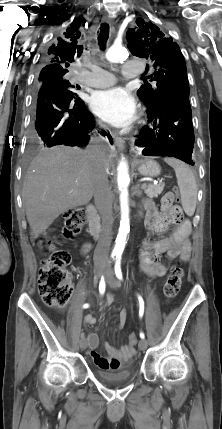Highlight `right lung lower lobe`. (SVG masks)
Returning <instances> with one entry per match:
<instances>
[{
    "label": "right lung lower lobe",
    "mask_w": 222,
    "mask_h": 429,
    "mask_svg": "<svg viewBox=\"0 0 222 429\" xmlns=\"http://www.w3.org/2000/svg\"><path fill=\"white\" fill-rule=\"evenodd\" d=\"M94 128L93 116L81 98L52 81L38 86L35 130L44 146H85ZM100 133L112 140L106 131Z\"/></svg>",
    "instance_id": "1"
}]
</instances>
